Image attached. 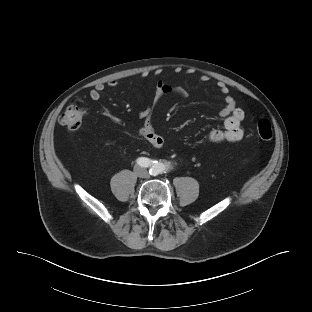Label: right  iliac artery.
Instances as JSON below:
<instances>
[{
  "label": "right iliac artery",
  "mask_w": 312,
  "mask_h": 312,
  "mask_svg": "<svg viewBox=\"0 0 312 312\" xmlns=\"http://www.w3.org/2000/svg\"><path fill=\"white\" fill-rule=\"evenodd\" d=\"M137 164L143 168H148L151 165L154 164V161L146 158V157H140L136 160Z\"/></svg>",
  "instance_id": "82829eb1"
}]
</instances>
